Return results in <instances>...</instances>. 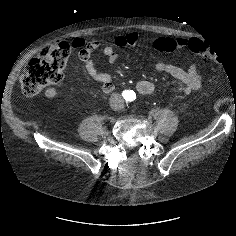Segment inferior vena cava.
Listing matches in <instances>:
<instances>
[{"label": "inferior vena cava", "mask_w": 236, "mask_h": 236, "mask_svg": "<svg viewBox=\"0 0 236 236\" xmlns=\"http://www.w3.org/2000/svg\"><path fill=\"white\" fill-rule=\"evenodd\" d=\"M110 106L113 110H121L124 106V100L118 93H113L110 97Z\"/></svg>", "instance_id": "inferior-vena-cava-1"}]
</instances>
